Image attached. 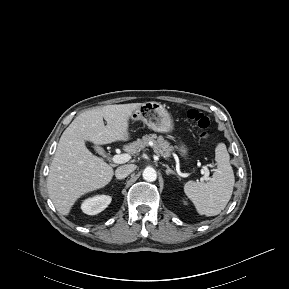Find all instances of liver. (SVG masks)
Here are the masks:
<instances>
[{
	"label": "liver",
	"mask_w": 289,
	"mask_h": 289,
	"mask_svg": "<svg viewBox=\"0 0 289 289\" xmlns=\"http://www.w3.org/2000/svg\"><path fill=\"white\" fill-rule=\"evenodd\" d=\"M141 105H107L88 110L65 129L47 177L49 197L61 215L67 216L82 195L106 186L114 174L112 166L93 155L85 142L105 145L129 140V119Z\"/></svg>",
	"instance_id": "obj_1"
}]
</instances>
